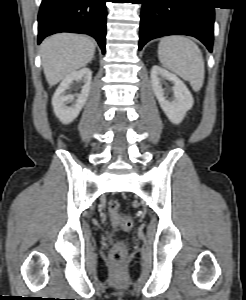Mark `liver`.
Listing matches in <instances>:
<instances>
[{
	"mask_svg": "<svg viewBox=\"0 0 246 300\" xmlns=\"http://www.w3.org/2000/svg\"><path fill=\"white\" fill-rule=\"evenodd\" d=\"M44 75L50 86L70 73L85 67L94 57V42L86 36L58 33L46 38L41 45Z\"/></svg>",
	"mask_w": 246,
	"mask_h": 300,
	"instance_id": "1",
	"label": "liver"
}]
</instances>
